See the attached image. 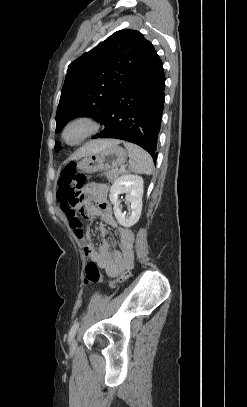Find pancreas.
<instances>
[{
  "mask_svg": "<svg viewBox=\"0 0 247 407\" xmlns=\"http://www.w3.org/2000/svg\"><path fill=\"white\" fill-rule=\"evenodd\" d=\"M123 173L122 171L118 172L116 170L106 171L103 174L107 177L109 182H113L119 176V174Z\"/></svg>",
  "mask_w": 247,
  "mask_h": 407,
  "instance_id": "1",
  "label": "pancreas"
}]
</instances>
